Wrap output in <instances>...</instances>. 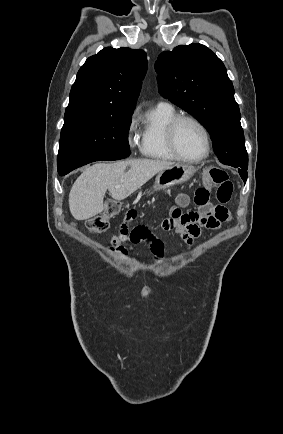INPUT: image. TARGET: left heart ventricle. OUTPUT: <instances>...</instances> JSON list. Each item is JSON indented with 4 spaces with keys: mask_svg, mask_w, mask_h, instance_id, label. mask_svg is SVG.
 Returning <instances> with one entry per match:
<instances>
[{
    "mask_svg": "<svg viewBox=\"0 0 283 434\" xmlns=\"http://www.w3.org/2000/svg\"><path fill=\"white\" fill-rule=\"evenodd\" d=\"M179 151L186 157L196 158L204 153L205 141L201 130L190 121H183L176 131Z\"/></svg>",
    "mask_w": 283,
    "mask_h": 434,
    "instance_id": "b2bd125f",
    "label": "left heart ventricle"
}]
</instances>
